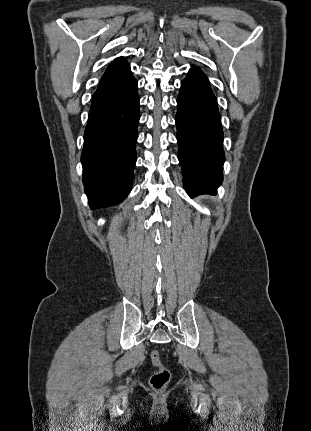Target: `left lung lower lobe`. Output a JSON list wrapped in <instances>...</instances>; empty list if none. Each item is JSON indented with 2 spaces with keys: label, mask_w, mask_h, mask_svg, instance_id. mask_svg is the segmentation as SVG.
<instances>
[{
  "label": "left lung lower lobe",
  "mask_w": 311,
  "mask_h": 431,
  "mask_svg": "<svg viewBox=\"0 0 311 431\" xmlns=\"http://www.w3.org/2000/svg\"><path fill=\"white\" fill-rule=\"evenodd\" d=\"M178 158L190 196L215 194L222 183L223 131L216 97L207 77L193 67L177 98Z\"/></svg>",
  "instance_id": "0a47b994"
}]
</instances>
